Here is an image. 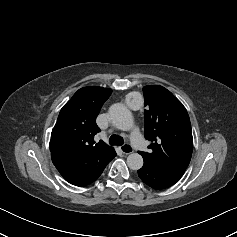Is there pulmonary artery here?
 Returning <instances> with one entry per match:
<instances>
[{"label": "pulmonary artery", "mask_w": 237, "mask_h": 237, "mask_svg": "<svg viewBox=\"0 0 237 237\" xmlns=\"http://www.w3.org/2000/svg\"><path fill=\"white\" fill-rule=\"evenodd\" d=\"M130 140H131V143L132 145L137 148L138 150L144 152L146 151V145H145V142L141 136V134L136 131L134 132L131 137H130Z\"/></svg>", "instance_id": "pulmonary-artery-1"}]
</instances>
